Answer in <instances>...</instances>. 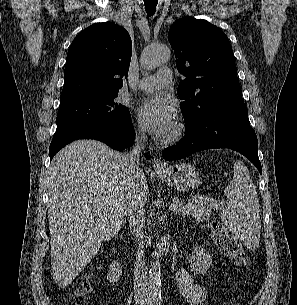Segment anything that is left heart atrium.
<instances>
[{
  "instance_id": "1",
  "label": "left heart atrium",
  "mask_w": 297,
  "mask_h": 305,
  "mask_svg": "<svg viewBox=\"0 0 297 305\" xmlns=\"http://www.w3.org/2000/svg\"><path fill=\"white\" fill-rule=\"evenodd\" d=\"M138 112L143 126L157 137H166L175 126V109L167 97L154 96L145 99Z\"/></svg>"
}]
</instances>
